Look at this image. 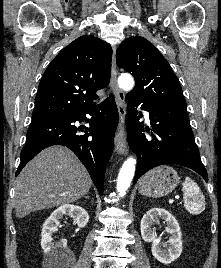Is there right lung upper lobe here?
Listing matches in <instances>:
<instances>
[{"label": "right lung upper lobe", "mask_w": 221, "mask_h": 268, "mask_svg": "<svg viewBox=\"0 0 221 268\" xmlns=\"http://www.w3.org/2000/svg\"><path fill=\"white\" fill-rule=\"evenodd\" d=\"M112 49L91 36L74 40L52 60L39 83L32 119L61 117L95 106L108 86Z\"/></svg>", "instance_id": "1"}]
</instances>
